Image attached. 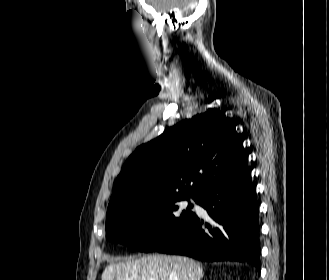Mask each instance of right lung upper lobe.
<instances>
[{
  "mask_svg": "<svg viewBox=\"0 0 329 280\" xmlns=\"http://www.w3.org/2000/svg\"><path fill=\"white\" fill-rule=\"evenodd\" d=\"M235 126L224 113L208 110L141 145L117 177L108 208L147 196L199 197L247 162Z\"/></svg>",
  "mask_w": 329,
  "mask_h": 280,
  "instance_id": "right-lung-upper-lobe-1",
  "label": "right lung upper lobe"
}]
</instances>
